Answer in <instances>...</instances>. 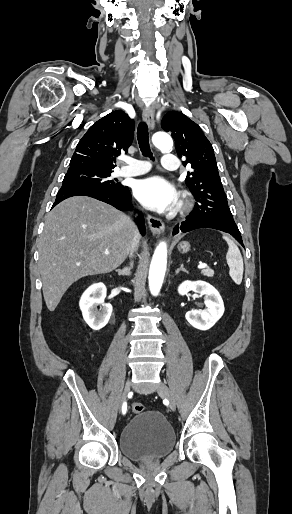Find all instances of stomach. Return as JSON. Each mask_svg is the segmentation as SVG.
Segmentation results:
<instances>
[{"label":"stomach","mask_w":292,"mask_h":514,"mask_svg":"<svg viewBox=\"0 0 292 514\" xmlns=\"http://www.w3.org/2000/svg\"><path fill=\"white\" fill-rule=\"evenodd\" d=\"M178 250H180V252H189V250H190L189 242H182V244H179Z\"/></svg>","instance_id":"stomach-1"}]
</instances>
